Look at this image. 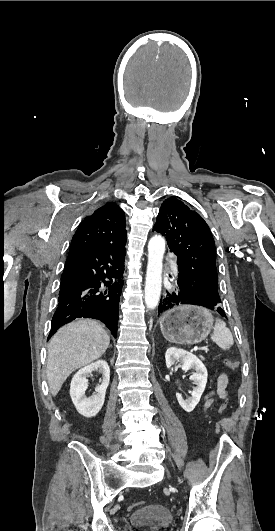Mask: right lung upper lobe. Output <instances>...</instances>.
Masks as SVG:
<instances>
[{
	"instance_id": "right-lung-upper-lobe-1",
	"label": "right lung upper lobe",
	"mask_w": 275,
	"mask_h": 531,
	"mask_svg": "<svg viewBox=\"0 0 275 531\" xmlns=\"http://www.w3.org/2000/svg\"><path fill=\"white\" fill-rule=\"evenodd\" d=\"M125 214L115 203H108L87 216L75 232L69 254L88 251L102 245L126 242Z\"/></svg>"
}]
</instances>
